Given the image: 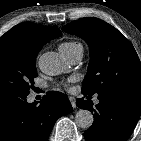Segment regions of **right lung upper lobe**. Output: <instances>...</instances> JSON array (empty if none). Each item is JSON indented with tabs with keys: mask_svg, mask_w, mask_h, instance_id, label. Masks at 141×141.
<instances>
[{
	"mask_svg": "<svg viewBox=\"0 0 141 141\" xmlns=\"http://www.w3.org/2000/svg\"><path fill=\"white\" fill-rule=\"evenodd\" d=\"M60 36L61 32L54 27L26 22L3 34L0 37V46L18 44L39 52L46 42Z\"/></svg>",
	"mask_w": 141,
	"mask_h": 141,
	"instance_id": "obj_1",
	"label": "right lung upper lobe"
}]
</instances>
